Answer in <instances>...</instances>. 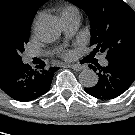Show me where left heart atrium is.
<instances>
[{
	"instance_id": "39dd6f15",
	"label": "left heart atrium",
	"mask_w": 135,
	"mask_h": 135,
	"mask_svg": "<svg viewBox=\"0 0 135 135\" xmlns=\"http://www.w3.org/2000/svg\"><path fill=\"white\" fill-rule=\"evenodd\" d=\"M62 56L65 58V59H70L72 57V53L69 52V51H65L62 53Z\"/></svg>"
}]
</instances>
